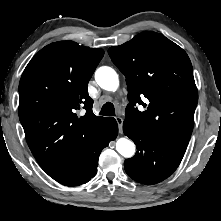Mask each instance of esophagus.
<instances>
[{
    "label": "esophagus",
    "instance_id": "1",
    "mask_svg": "<svg viewBox=\"0 0 221 221\" xmlns=\"http://www.w3.org/2000/svg\"><path fill=\"white\" fill-rule=\"evenodd\" d=\"M115 120L118 124L119 132H122L123 119L121 117H115Z\"/></svg>",
    "mask_w": 221,
    "mask_h": 221
}]
</instances>
